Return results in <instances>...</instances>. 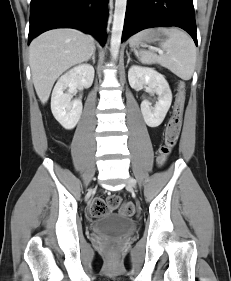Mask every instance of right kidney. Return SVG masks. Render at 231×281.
Wrapping results in <instances>:
<instances>
[{"label":"right kidney","mask_w":231,"mask_h":281,"mask_svg":"<svg viewBox=\"0 0 231 281\" xmlns=\"http://www.w3.org/2000/svg\"><path fill=\"white\" fill-rule=\"evenodd\" d=\"M94 68L88 64L78 65L62 75L52 92L51 110L55 119L65 128L73 129L82 113L80 99L71 101L72 94L83 87L89 88L94 80ZM68 88V92L64 90Z\"/></svg>","instance_id":"ca27d5eb"}]
</instances>
